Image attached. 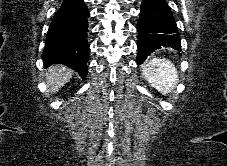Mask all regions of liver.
Listing matches in <instances>:
<instances>
[{
    "instance_id": "obj_1",
    "label": "liver",
    "mask_w": 227,
    "mask_h": 166,
    "mask_svg": "<svg viewBox=\"0 0 227 166\" xmlns=\"http://www.w3.org/2000/svg\"><path fill=\"white\" fill-rule=\"evenodd\" d=\"M73 71L63 65L52 66L46 74V82L51 93L58 92L71 78Z\"/></svg>"
}]
</instances>
